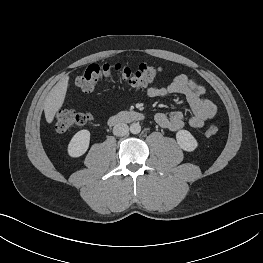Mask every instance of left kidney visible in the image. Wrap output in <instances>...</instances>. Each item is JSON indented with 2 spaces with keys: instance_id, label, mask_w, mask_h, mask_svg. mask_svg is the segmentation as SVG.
<instances>
[{
  "instance_id": "5707ae66",
  "label": "left kidney",
  "mask_w": 263,
  "mask_h": 263,
  "mask_svg": "<svg viewBox=\"0 0 263 263\" xmlns=\"http://www.w3.org/2000/svg\"><path fill=\"white\" fill-rule=\"evenodd\" d=\"M176 140L180 148L184 151L192 152L198 147V142L187 130H179L176 133Z\"/></svg>"
}]
</instances>
